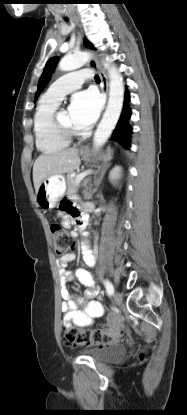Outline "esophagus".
<instances>
[{
    "label": "esophagus",
    "mask_w": 187,
    "mask_h": 415,
    "mask_svg": "<svg viewBox=\"0 0 187 415\" xmlns=\"http://www.w3.org/2000/svg\"><path fill=\"white\" fill-rule=\"evenodd\" d=\"M88 66L98 70L100 78H101V82H102V91L106 95H108L109 84H108V78H107L106 73L102 70V68L100 67V65L95 59H90L88 62ZM83 149H86V148H83Z\"/></svg>",
    "instance_id": "34e87169"
}]
</instances>
